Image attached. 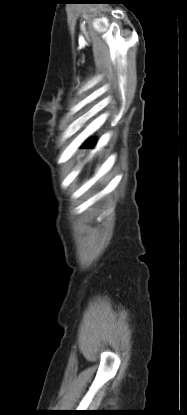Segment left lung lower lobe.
<instances>
[{
	"instance_id": "obj_1",
	"label": "left lung lower lobe",
	"mask_w": 187,
	"mask_h": 415,
	"mask_svg": "<svg viewBox=\"0 0 187 415\" xmlns=\"http://www.w3.org/2000/svg\"><path fill=\"white\" fill-rule=\"evenodd\" d=\"M95 141L94 140H92V141H90V142H86V146H90V147H94L95 146Z\"/></svg>"
}]
</instances>
